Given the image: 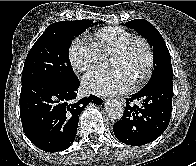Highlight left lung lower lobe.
<instances>
[{
    "label": "left lung lower lobe",
    "instance_id": "0a47b994",
    "mask_svg": "<svg viewBox=\"0 0 196 166\" xmlns=\"http://www.w3.org/2000/svg\"><path fill=\"white\" fill-rule=\"evenodd\" d=\"M172 94V80H164L152 82L131 98H126L124 114L113 127L117 139L131 146H141L157 139L168 127ZM134 100H141L142 106L132 105Z\"/></svg>",
    "mask_w": 196,
    "mask_h": 166
}]
</instances>
